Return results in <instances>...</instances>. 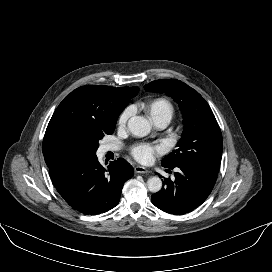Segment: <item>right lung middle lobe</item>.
<instances>
[{"mask_svg": "<svg viewBox=\"0 0 272 272\" xmlns=\"http://www.w3.org/2000/svg\"><path fill=\"white\" fill-rule=\"evenodd\" d=\"M113 133V132H112ZM111 133V134H112ZM103 136H100V137H96L92 140V142L88 145V146H85V147H82L80 148L79 150H76L72 155L71 157L73 159H81L85 156H88V155H95L96 154V150L98 148V141L102 138Z\"/></svg>", "mask_w": 272, "mask_h": 272, "instance_id": "1", "label": "right lung middle lobe"}]
</instances>
